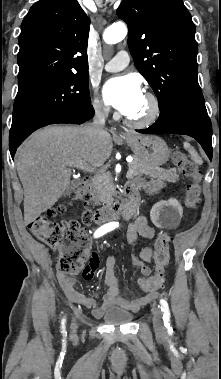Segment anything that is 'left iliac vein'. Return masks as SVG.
Wrapping results in <instances>:
<instances>
[{"label":"left iliac vein","instance_id":"obj_1","mask_svg":"<svg viewBox=\"0 0 221 379\" xmlns=\"http://www.w3.org/2000/svg\"><path fill=\"white\" fill-rule=\"evenodd\" d=\"M153 326L157 333L161 334L164 332L163 316L159 308L153 309Z\"/></svg>","mask_w":221,"mask_h":379}]
</instances>
